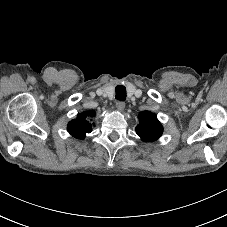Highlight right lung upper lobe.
Listing matches in <instances>:
<instances>
[{"label": "right lung upper lobe", "instance_id": "right-lung-upper-lobe-1", "mask_svg": "<svg viewBox=\"0 0 227 227\" xmlns=\"http://www.w3.org/2000/svg\"><path fill=\"white\" fill-rule=\"evenodd\" d=\"M88 114L90 116H94L95 112L90 111ZM86 117V113H81L78 114L77 119L69 122L67 129L71 135L82 139L85 137L86 133H90L92 131V125L86 120Z\"/></svg>", "mask_w": 227, "mask_h": 227}]
</instances>
